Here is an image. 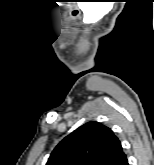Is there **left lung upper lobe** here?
I'll return each instance as SVG.
<instances>
[{
	"label": "left lung upper lobe",
	"mask_w": 154,
	"mask_h": 165,
	"mask_svg": "<svg viewBox=\"0 0 154 165\" xmlns=\"http://www.w3.org/2000/svg\"><path fill=\"white\" fill-rule=\"evenodd\" d=\"M123 154L113 132L92 121L66 136L53 150L46 165H117Z\"/></svg>",
	"instance_id": "obj_1"
}]
</instances>
